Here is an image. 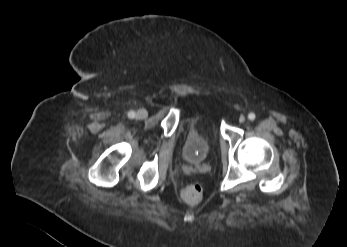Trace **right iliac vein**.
<instances>
[{
  "label": "right iliac vein",
  "instance_id": "63e3f726",
  "mask_svg": "<svg viewBox=\"0 0 347 247\" xmlns=\"http://www.w3.org/2000/svg\"><path fill=\"white\" fill-rule=\"evenodd\" d=\"M148 116L146 109H139L136 113V119H145Z\"/></svg>",
  "mask_w": 347,
  "mask_h": 247
}]
</instances>
